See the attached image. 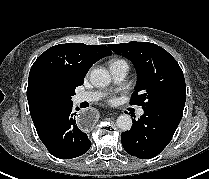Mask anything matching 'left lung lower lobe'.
<instances>
[{
    "mask_svg": "<svg viewBox=\"0 0 209 179\" xmlns=\"http://www.w3.org/2000/svg\"><path fill=\"white\" fill-rule=\"evenodd\" d=\"M181 107L145 108L140 119H133L130 131L121 134L123 148L131 156L150 159L171 141L183 114Z\"/></svg>",
    "mask_w": 209,
    "mask_h": 179,
    "instance_id": "left-lung-lower-lobe-1",
    "label": "left lung lower lobe"
}]
</instances>
